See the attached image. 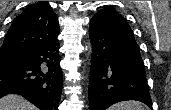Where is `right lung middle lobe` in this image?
I'll list each match as a JSON object with an SVG mask.
<instances>
[{
	"mask_svg": "<svg viewBox=\"0 0 171 110\" xmlns=\"http://www.w3.org/2000/svg\"><path fill=\"white\" fill-rule=\"evenodd\" d=\"M26 60V54L13 53L0 55V71L12 68L23 63Z\"/></svg>",
	"mask_w": 171,
	"mask_h": 110,
	"instance_id": "1",
	"label": "right lung middle lobe"
}]
</instances>
